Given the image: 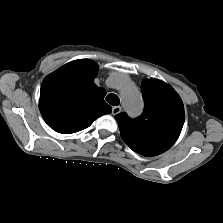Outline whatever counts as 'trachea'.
<instances>
[{
	"mask_svg": "<svg viewBox=\"0 0 223 223\" xmlns=\"http://www.w3.org/2000/svg\"><path fill=\"white\" fill-rule=\"evenodd\" d=\"M106 101L113 106H117L120 103L119 97L116 94H108Z\"/></svg>",
	"mask_w": 223,
	"mask_h": 223,
	"instance_id": "1",
	"label": "trachea"
}]
</instances>
